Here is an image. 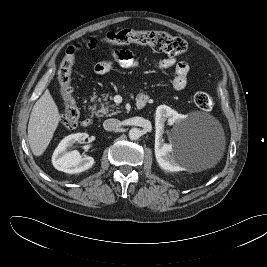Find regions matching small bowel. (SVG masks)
Listing matches in <instances>:
<instances>
[{"label": "small bowel", "mask_w": 267, "mask_h": 267, "mask_svg": "<svg viewBox=\"0 0 267 267\" xmlns=\"http://www.w3.org/2000/svg\"><path fill=\"white\" fill-rule=\"evenodd\" d=\"M94 39L86 41L85 48L94 50L96 48ZM114 65L122 68L133 69L138 66V61L129 50L115 49L112 50L108 56L94 65V73L97 75H104L108 73ZM153 66L158 70H166L175 67V74L172 80V88L175 91L183 90L187 85V77L189 73V65L186 62L177 63L174 57H166L154 62Z\"/></svg>", "instance_id": "1"}]
</instances>
